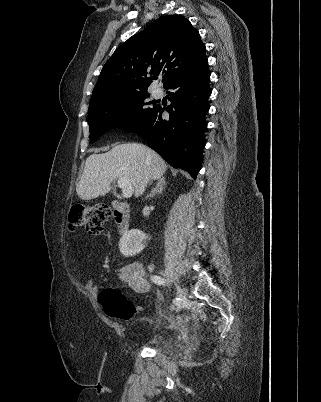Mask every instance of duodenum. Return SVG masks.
<instances>
[{
  "mask_svg": "<svg viewBox=\"0 0 321 402\" xmlns=\"http://www.w3.org/2000/svg\"><path fill=\"white\" fill-rule=\"evenodd\" d=\"M114 221L117 230L120 233H125L130 228V209L124 202H115L113 204Z\"/></svg>",
  "mask_w": 321,
  "mask_h": 402,
  "instance_id": "duodenum-1",
  "label": "duodenum"
}]
</instances>
